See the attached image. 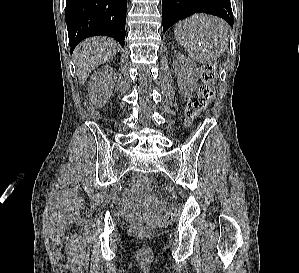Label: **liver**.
<instances>
[{
    "label": "liver",
    "instance_id": "6515ba94",
    "mask_svg": "<svg viewBox=\"0 0 299 273\" xmlns=\"http://www.w3.org/2000/svg\"><path fill=\"white\" fill-rule=\"evenodd\" d=\"M116 41L105 37H93L82 41L75 49L76 73L80 85H84L89 73L98 65L112 59L117 53Z\"/></svg>",
    "mask_w": 299,
    "mask_h": 273
}]
</instances>
